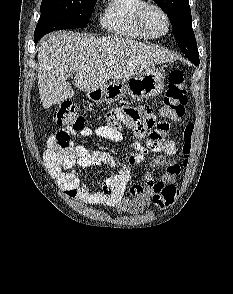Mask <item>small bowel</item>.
Here are the masks:
<instances>
[{
	"mask_svg": "<svg viewBox=\"0 0 233 294\" xmlns=\"http://www.w3.org/2000/svg\"><path fill=\"white\" fill-rule=\"evenodd\" d=\"M136 107L112 109L105 114L106 124L96 129L86 126L78 131L82 137L96 136L122 142L120 129L132 126V129H128V134L132 137H149L146 144L134 143V152H124V156H113L103 149H86L83 146L73 145L56 151V136L52 135L47 139V148L44 152L45 164L69 196L88 205L115 208L119 213H140L161 189L174 186L181 167L175 160L159 155L152 160L151 166L165 168L162 178L155 180L150 174H146L143 184L131 185L129 189L131 197L126 195L131 180V166L142 163L146 155L152 152L171 155L177 151L176 144L166 136L171 128L170 121L158 120L157 123L153 121V118H157L158 108H153V104L148 103L137 104ZM116 161H126V163ZM76 165L84 168L107 165L110 168L120 169L104 181L100 190L92 192L81 183L78 175L73 171Z\"/></svg>",
	"mask_w": 233,
	"mask_h": 294,
	"instance_id": "small-bowel-1",
	"label": "small bowel"
}]
</instances>
